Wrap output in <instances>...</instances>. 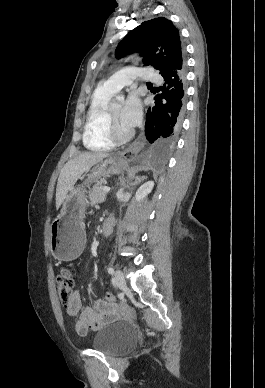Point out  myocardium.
Segmentation results:
<instances>
[{"mask_svg": "<svg viewBox=\"0 0 265 388\" xmlns=\"http://www.w3.org/2000/svg\"><path fill=\"white\" fill-rule=\"evenodd\" d=\"M97 91H115V90H106L105 87L98 89ZM104 129L107 136L115 142H123L128 140L133 131L129 128L121 127L118 122L113 118L109 109H107L104 119Z\"/></svg>", "mask_w": 265, "mask_h": 388, "instance_id": "1", "label": "myocardium"}]
</instances>
